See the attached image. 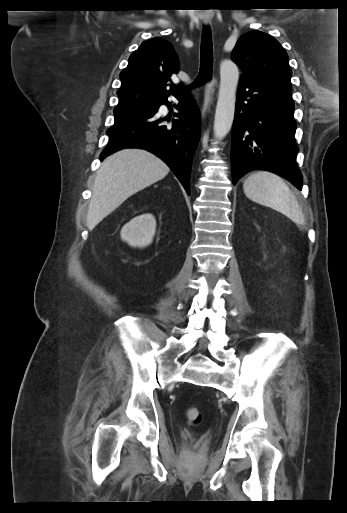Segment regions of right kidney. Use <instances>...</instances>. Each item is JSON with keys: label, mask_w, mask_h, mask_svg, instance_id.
<instances>
[{"label": "right kidney", "mask_w": 347, "mask_h": 513, "mask_svg": "<svg viewBox=\"0 0 347 513\" xmlns=\"http://www.w3.org/2000/svg\"><path fill=\"white\" fill-rule=\"evenodd\" d=\"M156 230L155 217L142 214L125 224L120 232L121 239L132 247H146L151 244Z\"/></svg>", "instance_id": "ca27d5eb"}]
</instances>
